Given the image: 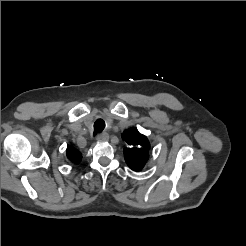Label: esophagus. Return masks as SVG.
Returning <instances> with one entry per match:
<instances>
[{"label":"esophagus","instance_id":"esophagus-1","mask_svg":"<svg viewBox=\"0 0 246 246\" xmlns=\"http://www.w3.org/2000/svg\"><path fill=\"white\" fill-rule=\"evenodd\" d=\"M109 139V135L107 133H101L96 136L97 141H107Z\"/></svg>","mask_w":246,"mask_h":246}]
</instances>
